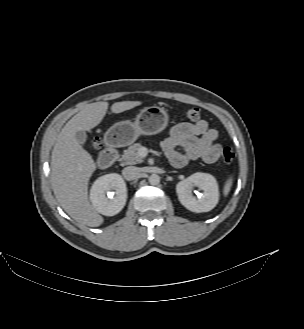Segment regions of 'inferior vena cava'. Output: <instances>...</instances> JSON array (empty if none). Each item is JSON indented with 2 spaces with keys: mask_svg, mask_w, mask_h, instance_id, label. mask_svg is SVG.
Returning a JSON list of instances; mask_svg holds the SVG:
<instances>
[{
  "mask_svg": "<svg viewBox=\"0 0 304 329\" xmlns=\"http://www.w3.org/2000/svg\"><path fill=\"white\" fill-rule=\"evenodd\" d=\"M123 177L130 181L134 180L139 175V168L135 166H128L122 170Z\"/></svg>",
  "mask_w": 304,
  "mask_h": 329,
  "instance_id": "602c4592",
  "label": "inferior vena cava"
}]
</instances>
